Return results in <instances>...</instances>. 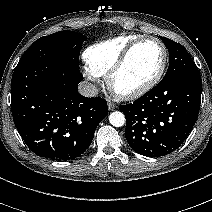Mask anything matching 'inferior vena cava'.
Listing matches in <instances>:
<instances>
[{"label":"inferior vena cava","instance_id":"inferior-vena-cava-1","mask_svg":"<svg viewBox=\"0 0 212 212\" xmlns=\"http://www.w3.org/2000/svg\"><path fill=\"white\" fill-rule=\"evenodd\" d=\"M78 91L85 97H95L98 94L97 87L87 81H83L79 84Z\"/></svg>","mask_w":212,"mask_h":212}]
</instances>
